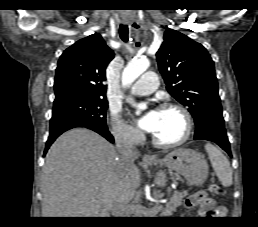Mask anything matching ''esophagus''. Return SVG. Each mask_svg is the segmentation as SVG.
<instances>
[{
    "mask_svg": "<svg viewBox=\"0 0 258 227\" xmlns=\"http://www.w3.org/2000/svg\"><path fill=\"white\" fill-rule=\"evenodd\" d=\"M143 162H151L153 160V157L150 155H144L142 158Z\"/></svg>",
    "mask_w": 258,
    "mask_h": 227,
    "instance_id": "obj_1",
    "label": "esophagus"
}]
</instances>
